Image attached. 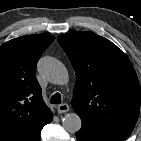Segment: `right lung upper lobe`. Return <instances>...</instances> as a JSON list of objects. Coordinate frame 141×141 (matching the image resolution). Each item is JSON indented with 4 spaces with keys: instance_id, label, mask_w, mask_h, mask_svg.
<instances>
[{
    "instance_id": "obj_1",
    "label": "right lung upper lobe",
    "mask_w": 141,
    "mask_h": 141,
    "mask_svg": "<svg viewBox=\"0 0 141 141\" xmlns=\"http://www.w3.org/2000/svg\"><path fill=\"white\" fill-rule=\"evenodd\" d=\"M54 39L49 34L27 35L0 47V141H37L53 119L35 73Z\"/></svg>"
}]
</instances>
